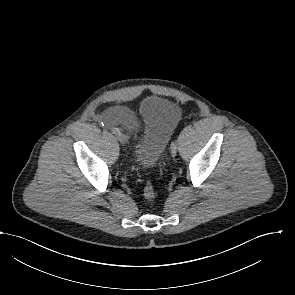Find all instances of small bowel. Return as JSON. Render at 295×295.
Instances as JSON below:
<instances>
[{
    "label": "small bowel",
    "mask_w": 295,
    "mask_h": 295,
    "mask_svg": "<svg viewBox=\"0 0 295 295\" xmlns=\"http://www.w3.org/2000/svg\"><path fill=\"white\" fill-rule=\"evenodd\" d=\"M101 120L108 126L120 125L128 131H134L139 127V120L133 112L122 107L108 109Z\"/></svg>",
    "instance_id": "c3829d8e"
}]
</instances>
